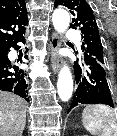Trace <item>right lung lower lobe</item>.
<instances>
[{"instance_id":"obj_1","label":"right lung lower lobe","mask_w":117,"mask_h":136,"mask_svg":"<svg viewBox=\"0 0 117 136\" xmlns=\"http://www.w3.org/2000/svg\"><path fill=\"white\" fill-rule=\"evenodd\" d=\"M19 42L25 43L23 35L17 39L8 50L0 54V90L13 92L28 101L26 73L19 68L17 62H11L7 56L11 47L16 50L20 48V46L17 45Z\"/></svg>"}]
</instances>
